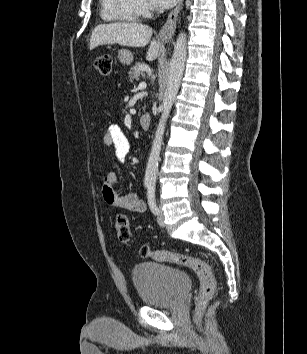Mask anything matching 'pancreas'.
<instances>
[{
	"mask_svg": "<svg viewBox=\"0 0 307 354\" xmlns=\"http://www.w3.org/2000/svg\"><path fill=\"white\" fill-rule=\"evenodd\" d=\"M148 66L143 63H137L129 71V80L132 82L134 80H139L141 77H145V73L148 72Z\"/></svg>",
	"mask_w": 307,
	"mask_h": 354,
	"instance_id": "1",
	"label": "pancreas"
}]
</instances>
